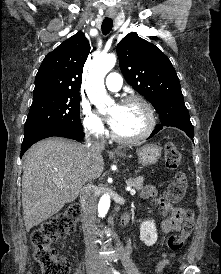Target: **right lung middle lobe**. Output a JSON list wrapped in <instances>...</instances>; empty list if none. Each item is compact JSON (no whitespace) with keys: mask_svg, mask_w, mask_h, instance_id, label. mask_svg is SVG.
<instances>
[{"mask_svg":"<svg viewBox=\"0 0 221 274\" xmlns=\"http://www.w3.org/2000/svg\"><path fill=\"white\" fill-rule=\"evenodd\" d=\"M79 93L33 99L24 133L46 126H64L83 130Z\"/></svg>","mask_w":221,"mask_h":274,"instance_id":"right-lung-middle-lobe-1","label":"right lung middle lobe"}]
</instances>
